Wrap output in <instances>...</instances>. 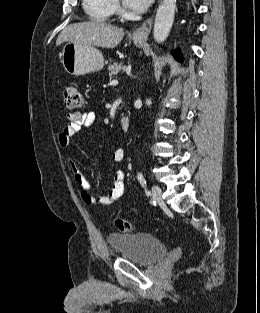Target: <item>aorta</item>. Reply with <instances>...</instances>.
Masks as SVG:
<instances>
[{"instance_id":"obj_1","label":"aorta","mask_w":260,"mask_h":313,"mask_svg":"<svg viewBox=\"0 0 260 313\" xmlns=\"http://www.w3.org/2000/svg\"><path fill=\"white\" fill-rule=\"evenodd\" d=\"M175 9L176 0H162L159 5L153 29L156 42L162 43L168 37L174 21Z\"/></svg>"}]
</instances>
